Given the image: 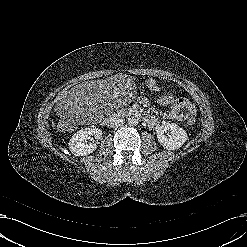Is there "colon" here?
Segmentation results:
<instances>
[{
	"label": "colon",
	"instance_id": "5ec220e1",
	"mask_svg": "<svg viewBox=\"0 0 247 247\" xmlns=\"http://www.w3.org/2000/svg\"><path fill=\"white\" fill-rule=\"evenodd\" d=\"M174 101V96L172 94H158L155 98V103L157 105H162L166 103H172ZM196 123V119L193 115H190L187 119V124L193 126ZM58 128L61 131H68L73 128V123L70 119L62 118L58 123Z\"/></svg>",
	"mask_w": 247,
	"mask_h": 247
}]
</instances>
